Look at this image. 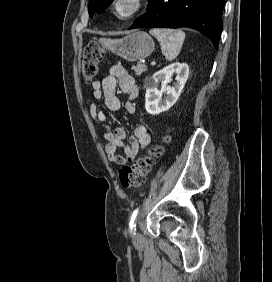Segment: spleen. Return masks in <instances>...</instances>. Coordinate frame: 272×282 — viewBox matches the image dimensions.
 I'll use <instances>...</instances> for the list:
<instances>
[{
    "instance_id": "3e777b00",
    "label": "spleen",
    "mask_w": 272,
    "mask_h": 282,
    "mask_svg": "<svg viewBox=\"0 0 272 282\" xmlns=\"http://www.w3.org/2000/svg\"><path fill=\"white\" fill-rule=\"evenodd\" d=\"M150 34L161 44V50L166 60H174L180 53L185 33L179 29L153 28Z\"/></svg>"
}]
</instances>
